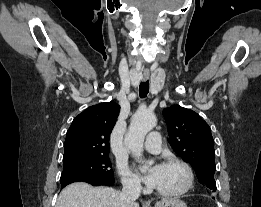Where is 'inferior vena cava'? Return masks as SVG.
<instances>
[{"label": "inferior vena cava", "mask_w": 261, "mask_h": 207, "mask_svg": "<svg viewBox=\"0 0 261 207\" xmlns=\"http://www.w3.org/2000/svg\"><path fill=\"white\" fill-rule=\"evenodd\" d=\"M141 191L140 183L137 181H127L123 184V189L120 194L124 202L135 201L139 198Z\"/></svg>", "instance_id": "1"}]
</instances>
